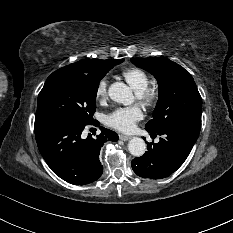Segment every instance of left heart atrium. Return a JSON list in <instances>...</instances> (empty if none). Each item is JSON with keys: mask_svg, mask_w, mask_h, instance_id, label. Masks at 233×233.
<instances>
[{"mask_svg": "<svg viewBox=\"0 0 233 233\" xmlns=\"http://www.w3.org/2000/svg\"><path fill=\"white\" fill-rule=\"evenodd\" d=\"M143 118L142 110L137 107L118 108L106 116V123L120 131H131Z\"/></svg>", "mask_w": 233, "mask_h": 233, "instance_id": "39dd6f15", "label": "left heart atrium"}]
</instances>
